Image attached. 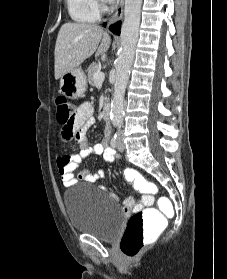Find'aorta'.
<instances>
[{"label":"aorta","instance_id":"762f6f07","mask_svg":"<svg viewBox=\"0 0 227 279\" xmlns=\"http://www.w3.org/2000/svg\"><path fill=\"white\" fill-rule=\"evenodd\" d=\"M142 0H125L124 21L121 27V47L116 60L114 92L110 118L113 126L120 127L124 116V94L138 40Z\"/></svg>","mask_w":227,"mask_h":279}]
</instances>
